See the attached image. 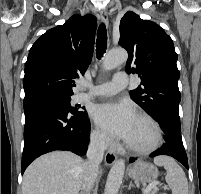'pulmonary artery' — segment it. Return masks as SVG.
<instances>
[{
	"mask_svg": "<svg viewBox=\"0 0 201 194\" xmlns=\"http://www.w3.org/2000/svg\"><path fill=\"white\" fill-rule=\"evenodd\" d=\"M128 84V76L124 72H119L114 75L112 81L102 83L93 87L88 94L82 93L78 95L79 101H84L93 97L112 96L124 89Z\"/></svg>",
	"mask_w": 201,
	"mask_h": 194,
	"instance_id": "pulmonary-artery-1",
	"label": "pulmonary artery"
}]
</instances>
